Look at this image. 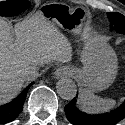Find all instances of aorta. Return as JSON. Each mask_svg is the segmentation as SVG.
<instances>
[{"instance_id":"aorta-1","label":"aorta","mask_w":125,"mask_h":125,"mask_svg":"<svg viewBox=\"0 0 125 125\" xmlns=\"http://www.w3.org/2000/svg\"><path fill=\"white\" fill-rule=\"evenodd\" d=\"M56 89L58 95L64 100H72L77 92L76 84L68 78L59 80Z\"/></svg>"}]
</instances>
